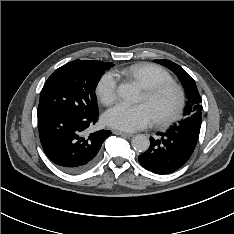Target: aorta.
I'll return each instance as SVG.
<instances>
[{
	"instance_id": "aorta-1",
	"label": "aorta",
	"mask_w": 234,
	"mask_h": 234,
	"mask_svg": "<svg viewBox=\"0 0 234 234\" xmlns=\"http://www.w3.org/2000/svg\"><path fill=\"white\" fill-rule=\"evenodd\" d=\"M118 95L129 102H134L138 98L137 88L129 83L120 84L118 87ZM150 146V141L147 136L143 134H138L132 139V147L138 152H145Z\"/></svg>"
}]
</instances>
